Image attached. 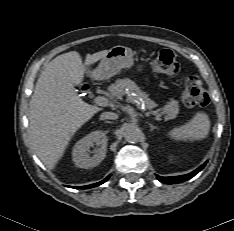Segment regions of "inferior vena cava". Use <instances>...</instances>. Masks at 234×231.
<instances>
[{
	"label": "inferior vena cava",
	"mask_w": 234,
	"mask_h": 231,
	"mask_svg": "<svg viewBox=\"0 0 234 231\" xmlns=\"http://www.w3.org/2000/svg\"><path fill=\"white\" fill-rule=\"evenodd\" d=\"M118 118V114L114 113V112H103L100 116L101 120L104 119H111V120H115Z\"/></svg>",
	"instance_id": "1"
}]
</instances>
